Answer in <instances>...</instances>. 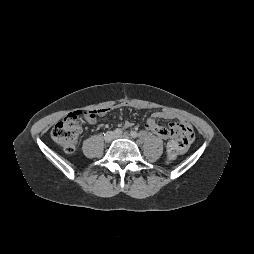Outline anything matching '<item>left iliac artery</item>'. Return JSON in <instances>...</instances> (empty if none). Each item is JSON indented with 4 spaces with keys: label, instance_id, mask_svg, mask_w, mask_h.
I'll return each instance as SVG.
<instances>
[{
    "label": "left iliac artery",
    "instance_id": "obj_1",
    "mask_svg": "<svg viewBox=\"0 0 254 254\" xmlns=\"http://www.w3.org/2000/svg\"><path fill=\"white\" fill-rule=\"evenodd\" d=\"M131 136L134 137V138H136V137L138 136V133L135 132V131H132V132H131Z\"/></svg>",
    "mask_w": 254,
    "mask_h": 254
}]
</instances>
